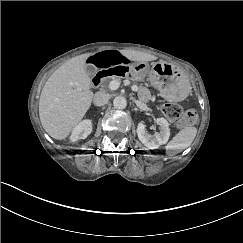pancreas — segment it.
Here are the masks:
<instances>
[{
	"label": "pancreas",
	"mask_w": 243,
	"mask_h": 243,
	"mask_svg": "<svg viewBox=\"0 0 243 243\" xmlns=\"http://www.w3.org/2000/svg\"><path fill=\"white\" fill-rule=\"evenodd\" d=\"M118 82H120L119 78H115ZM138 98L143 102H148L151 99V93L147 87L139 86L138 92H137Z\"/></svg>",
	"instance_id": "1"
}]
</instances>
